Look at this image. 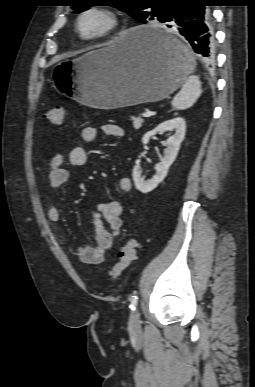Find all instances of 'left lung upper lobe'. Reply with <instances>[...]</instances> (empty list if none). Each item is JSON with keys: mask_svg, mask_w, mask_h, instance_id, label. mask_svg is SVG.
<instances>
[{"mask_svg": "<svg viewBox=\"0 0 255 387\" xmlns=\"http://www.w3.org/2000/svg\"><path fill=\"white\" fill-rule=\"evenodd\" d=\"M178 0H74L72 9L76 13L87 10L95 3H104L125 11L141 23L161 21L166 15L169 5Z\"/></svg>", "mask_w": 255, "mask_h": 387, "instance_id": "left-lung-upper-lobe-1", "label": "left lung upper lobe"}]
</instances>
